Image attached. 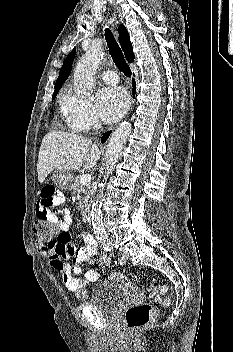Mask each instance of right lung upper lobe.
<instances>
[{"mask_svg": "<svg viewBox=\"0 0 233 352\" xmlns=\"http://www.w3.org/2000/svg\"><path fill=\"white\" fill-rule=\"evenodd\" d=\"M118 33H119V42L121 44V47L124 51L125 57L128 62H132L134 60V53L132 49V44L129 39V34L127 29L125 28L124 25H120L118 27ZM76 54V49L74 48L70 54L66 57V59L63 62V66L59 72V77L57 78L56 84H55V91H59L60 88L62 87L63 83L66 81L68 76L71 73V68H72V63L74 60Z\"/></svg>", "mask_w": 233, "mask_h": 352, "instance_id": "1", "label": "right lung upper lobe"}]
</instances>
